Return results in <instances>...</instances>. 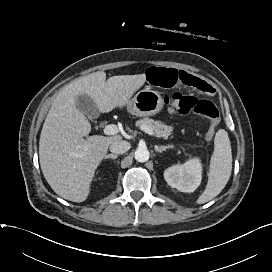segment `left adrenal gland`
Wrapping results in <instances>:
<instances>
[{"label":"left adrenal gland","mask_w":272,"mask_h":272,"mask_svg":"<svg viewBox=\"0 0 272 272\" xmlns=\"http://www.w3.org/2000/svg\"><path fill=\"white\" fill-rule=\"evenodd\" d=\"M169 148H173L172 145H168V146H155V150L159 153H162L163 151H165L166 149H169Z\"/></svg>","instance_id":"obj_1"}]
</instances>
